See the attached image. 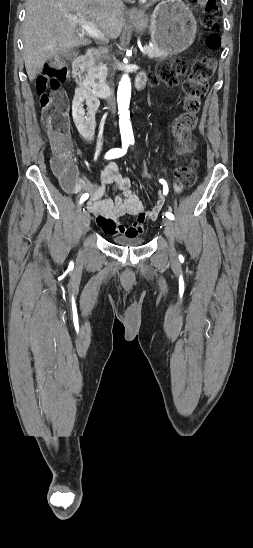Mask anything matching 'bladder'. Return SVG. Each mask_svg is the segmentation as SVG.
<instances>
[{
	"label": "bladder",
	"instance_id": "1",
	"mask_svg": "<svg viewBox=\"0 0 253 548\" xmlns=\"http://www.w3.org/2000/svg\"><path fill=\"white\" fill-rule=\"evenodd\" d=\"M113 242L121 246L137 247L143 245L145 239L140 235H117L113 237Z\"/></svg>",
	"mask_w": 253,
	"mask_h": 548
}]
</instances>
